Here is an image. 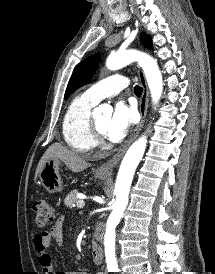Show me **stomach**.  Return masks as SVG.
Masks as SVG:
<instances>
[{"label": "stomach", "instance_id": "1", "mask_svg": "<svg viewBox=\"0 0 215 274\" xmlns=\"http://www.w3.org/2000/svg\"><path fill=\"white\" fill-rule=\"evenodd\" d=\"M59 166L60 161L59 159H49L44 166L42 167L39 178L43 185V187L49 192V193H57L61 192L63 189V183L61 180V176L59 174ZM96 177L99 179H106V176L103 175H97Z\"/></svg>", "mask_w": 215, "mask_h": 274}]
</instances>
